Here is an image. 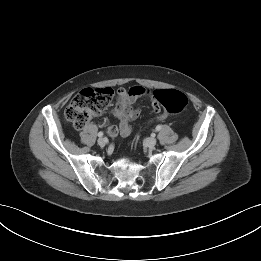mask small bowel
Listing matches in <instances>:
<instances>
[{
    "label": "small bowel",
    "mask_w": 261,
    "mask_h": 261,
    "mask_svg": "<svg viewBox=\"0 0 261 261\" xmlns=\"http://www.w3.org/2000/svg\"><path fill=\"white\" fill-rule=\"evenodd\" d=\"M143 96L150 98L154 111L158 112L160 108L154 97V92L149 89L142 86H132L129 89L119 88L117 90V102L112 109V114L120 120L119 134L121 136L130 135L132 129L129 122L135 120L140 114V110L134 107V103Z\"/></svg>",
    "instance_id": "obj_1"
}]
</instances>
